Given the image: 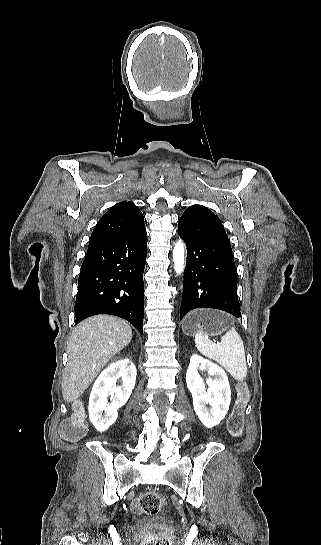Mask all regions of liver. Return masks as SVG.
<instances>
[{
	"mask_svg": "<svg viewBox=\"0 0 321 545\" xmlns=\"http://www.w3.org/2000/svg\"><path fill=\"white\" fill-rule=\"evenodd\" d=\"M131 339V327L118 317L96 315L79 323L67 345L68 361L61 385L64 401L79 399L111 357Z\"/></svg>",
	"mask_w": 321,
	"mask_h": 545,
	"instance_id": "obj_1",
	"label": "liver"
}]
</instances>
